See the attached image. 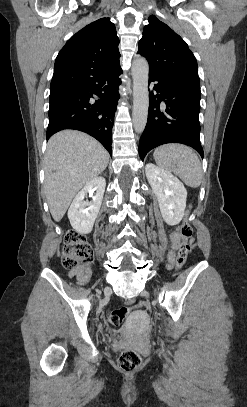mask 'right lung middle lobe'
<instances>
[{"instance_id": "obj_1", "label": "right lung middle lobe", "mask_w": 247, "mask_h": 407, "mask_svg": "<svg viewBox=\"0 0 247 407\" xmlns=\"http://www.w3.org/2000/svg\"><path fill=\"white\" fill-rule=\"evenodd\" d=\"M78 90H79V88L50 90V97H49V99L51 100V99L60 97V96H62V95H64V94L72 93V92H75V91H78Z\"/></svg>"}]
</instances>
